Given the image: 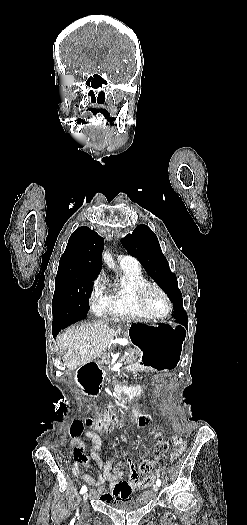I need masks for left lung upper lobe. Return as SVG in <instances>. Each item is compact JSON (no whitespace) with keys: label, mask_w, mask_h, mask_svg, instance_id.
<instances>
[{"label":"left lung upper lobe","mask_w":247,"mask_h":525,"mask_svg":"<svg viewBox=\"0 0 247 525\" xmlns=\"http://www.w3.org/2000/svg\"><path fill=\"white\" fill-rule=\"evenodd\" d=\"M121 243L130 255L140 261L147 273L167 293L173 302V317L176 322L187 323V314L183 309L182 294L178 289L176 276L169 268L155 233L147 225L140 224L132 234L123 238Z\"/></svg>","instance_id":"obj_1"}]
</instances>
